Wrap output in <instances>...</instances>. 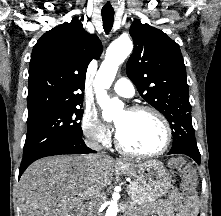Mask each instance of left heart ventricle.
Instances as JSON below:
<instances>
[{
    "label": "left heart ventricle",
    "mask_w": 221,
    "mask_h": 216,
    "mask_svg": "<svg viewBox=\"0 0 221 216\" xmlns=\"http://www.w3.org/2000/svg\"><path fill=\"white\" fill-rule=\"evenodd\" d=\"M116 127L122 144L134 151L153 152L164 143V128L150 113L122 112L116 119Z\"/></svg>",
    "instance_id": "obj_1"
}]
</instances>
